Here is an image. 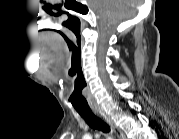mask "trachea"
Instances as JSON below:
<instances>
[{
    "instance_id": "obj_1",
    "label": "trachea",
    "mask_w": 179,
    "mask_h": 139,
    "mask_svg": "<svg viewBox=\"0 0 179 139\" xmlns=\"http://www.w3.org/2000/svg\"><path fill=\"white\" fill-rule=\"evenodd\" d=\"M78 113L91 128L102 131L104 133L110 132V126L104 120L96 116L92 111H78Z\"/></svg>"
}]
</instances>
